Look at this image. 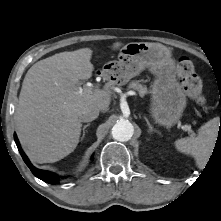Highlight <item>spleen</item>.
<instances>
[{
    "label": "spleen",
    "mask_w": 221,
    "mask_h": 221,
    "mask_svg": "<svg viewBox=\"0 0 221 221\" xmlns=\"http://www.w3.org/2000/svg\"><path fill=\"white\" fill-rule=\"evenodd\" d=\"M219 130V118L205 123L197 136L178 139L175 147L178 151L193 156L198 167L203 168L210 158Z\"/></svg>",
    "instance_id": "obj_1"
}]
</instances>
